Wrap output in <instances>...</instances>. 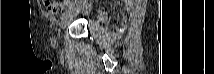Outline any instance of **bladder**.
<instances>
[{"instance_id": "1", "label": "bladder", "mask_w": 214, "mask_h": 74, "mask_svg": "<svg viewBox=\"0 0 214 74\" xmlns=\"http://www.w3.org/2000/svg\"><path fill=\"white\" fill-rule=\"evenodd\" d=\"M104 16L100 13H95L92 15V23H100Z\"/></svg>"}]
</instances>
